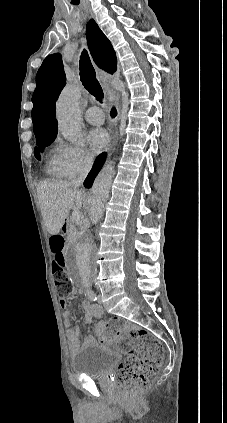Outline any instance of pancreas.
Segmentation results:
<instances>
[{"mask_svg":"<svg viewBox=\"0 0 227 423\" xmlns=\"http://www.w3.org/2000/svg\"><path fill=\"white\" fill-rule=\"evenodd\" d=\"M69 239H78L83 233L82 221H70L68 225Z\"/></svg>","mask_w":227,"mask_h":423,"instance_id":"pancreas-1","label":"pancreas"}]
</instances>
